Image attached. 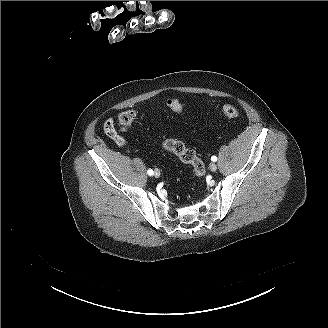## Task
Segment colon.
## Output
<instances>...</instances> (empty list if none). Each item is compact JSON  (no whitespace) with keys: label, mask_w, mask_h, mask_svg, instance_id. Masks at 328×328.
<instances>
[{"label":"colon","mask_w":328,"mask_h":328,"mask_svg":"<svg viewBox=\"0 0 328 328\" xmlns=\"http://www.w3.org/2000/svg\"><path fill=\"white\" fill-rule=\"evenodd\" d=\"M167 106L177 113H181L183 110L181 102L175 98L167 100ZM221 112L230 119H234L239 115L238 109L231 104L224 105ZM136 118L137 112L135 110L123 111L118 116V130L121 132L127 131ZM107 133L112 137L117 136L115 127L107 128ZM162 147L175 154L182 162L190 164L197 178H201L205 174L203 162L198 158L195 151L187 147L182 141L172 138L166 139L162 142Z\"/></svg>","instance_id":"colon-1"}]
</instances>
